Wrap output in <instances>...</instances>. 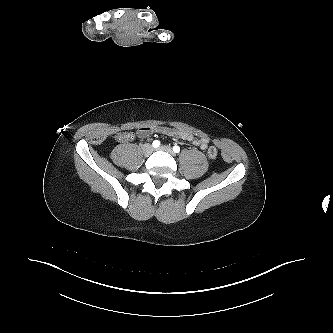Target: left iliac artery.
I'll use <instances>...</instances> for the list:
<instances>
[{
	"label": "left iliac artery",
	"instance_id": "44dca946",
	"mask_svg": "<svg viewBox=\"0 0 333 333\" xmlns=\"http://www.w3.org/2000/svg\"><path fill=\"white\" fill-rule=\"evenodd\" d=\"M173 151H174L175 153H179V152H180V147L177 146V145L173 146Z\"/></svg>",
	"mask_w": 333,
	"mask_h": 333
}]
</instances>
